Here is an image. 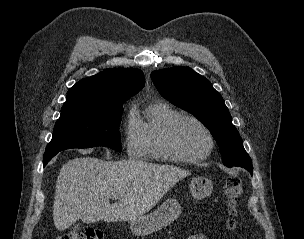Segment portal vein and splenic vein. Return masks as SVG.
Listing matches in <instances>:
<instances>
[{
    "label": "portal vein and splenic vein",
    "mask_w": 304,
    "mask_h": 239,
    "mask_svg": "<svg viewBox=\"0 0 304 239\" xmlns=\"http://www.w3.org/2000/svg\"><path fill=\"white\" fill-rule=\"evenodd\" d=\"M111 198H115V199H118V195H116V194H113V195L111 196Z\"/></svg>",
    "instance_id": "portal-vein-and-splenic-vein-1"
}]
</instances>
